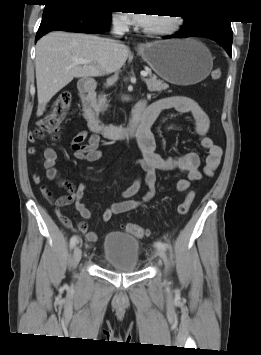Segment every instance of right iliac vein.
Returning a JSON list of instances; mask_svg holds the SVG:
<instances>
[{
    "mask_svg": "<svg viewBox=\"0 0 261 355\" xmlns=\"http://www.w3.org/2000/svg\"><path fill=\"white\" fill-rule=\"evenodd\" d=\"M82 257V250L79 246H76L74 249V262L77 264Z\"/></svg>",
    "mask_w": 261,
    "mask_h": 355,
    "instance_id": "obj_1",
    "label": "right iliac vein"
}]
</instances>
